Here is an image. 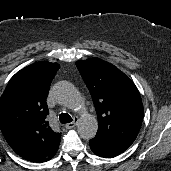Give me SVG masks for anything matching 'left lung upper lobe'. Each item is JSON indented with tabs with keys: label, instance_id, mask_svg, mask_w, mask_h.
Instances as JSON below:
<instances>
[{
	"label": "left lung upper lobe",
	"instance_id": "1",
	"mask_svg": "<svg viewBox=\"0 0 171 171\" xmlns=\"http://www.w3.org/2000/svg\"><path fill=\"white\" fill-rule=\"evenodd\" d=\"M76 66L98 115L96 137L128 149L143 121V104L136 86L117 67L102 59L79 60Z\"/></svg>",
	"mask_w": 171,
	"mask_h": 171
}]
</instances>
